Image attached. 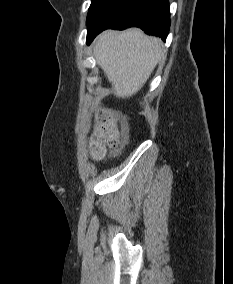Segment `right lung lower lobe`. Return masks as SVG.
Segmentation results:
<instances>
[{
  "label": "right lung lower lobe",
  "instance_id": "right-lung-lower-lobe-1",
  "mask_svg": "<svg viewBox=\"0 0 233 284\" xmlns=\"http://www.w3.org/2000/svg\"><path fill=\"white\" fill-rule=\"evenodd\" d=\"M138 27L166 39L170 27L168 0H112L87 27V44L105 29Z\"/></svg>",
  "mask_w": 233,
  "mask_h": 284
}]
</instances>
